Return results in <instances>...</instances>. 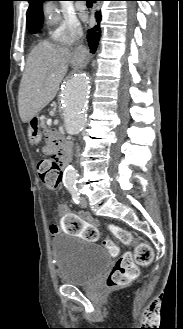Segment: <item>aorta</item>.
Listing matches in <instances>:
<instances>
[{
	"instance_id": "762f6f07",
	"label": "aorta",
	"mask_w": 183,
	"mask_h": 329,
	"mask_svg": "<svg viewBox=\"0 0 183 329\" xmlns=\"http://www.w3.org/2000/svg\"><path fill=\"white\" fill-rule=\"evenodd\" d=\"M47 22L55 24L58 21L56 8L52 4L45 6ZM92 87L89 76L85 73H75L64 84L61 105L64 114V128L67 134L76 135L85 126L87 118V105ZM77 170L69 165L63 175L65 187H73L77 181Z\"/></svg>"
}]
</instances>
